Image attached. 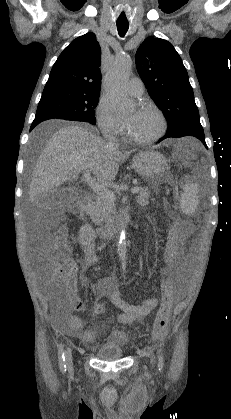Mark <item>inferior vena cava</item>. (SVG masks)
Listing matches in <instances>:
<instances>
[{"mask_svg": "<svg viewBox=\"0 0 231 419\" xmlns=\"http://www.w3.org/2000/svg\"><path fill=\"white\" fill-rule=\"evenodd\" d=\"M104 137H105L107 146L110 149H113V150L118 149V147H119L118 139L113 133H111V132L105 133Z\"/></svg>", "mask_w": 231, "mask_h": 419, "instance_id": "1", "label": "inferior vena cava"}]
</instances>
